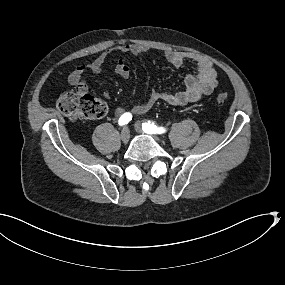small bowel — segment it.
Listing matches in <instances>:
<instances>
[{"label":"small bowel","instance_id":"c3829d8e","mask_svg":"<svg viewBox=\"0 0 285 285\" xmlns=\"http://www.w3.org/2000/svg\"><path fill=\"white\" fill-rule=\"evenodd\" d=\"M114 51L121 53H130L134 56L144 54L146 47L137 43H121L114 48ZM111 51L101 53L97 58L87 65L78 66L69 76V83L77 90L87 91V84L83 77L86 73L97 74L109 56ZM166 60L175 67L182 66L186 61H191L196 66L194 74L187 75L184 80V87L180 91L174 93L160 92L152 90L145 102L137 103L133 106L134 114H143L150 110L158 101H165L171 105L182 106L188 103L196 102L203 96L213 92L218 85L217 71L214 64L206 57L183 51L169 50L165 52ZM116 72L123 78L130 75L129 67L119 60L116 65ZM105 97H109L108 92H104ZM126 112L125 108L117 107L115 114L122 116Z\"/></svg>","mask_w":285,"mask_h":285}]
</instances>
